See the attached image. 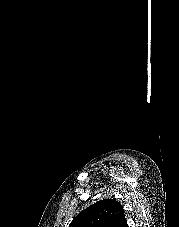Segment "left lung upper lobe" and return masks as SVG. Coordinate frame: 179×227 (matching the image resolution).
Wrapping results in <instances>:
<instances>
[{
  "instance_id": "obj_1",
  "label": "left lung upper lobe",
  "mask_w": 179,
  "mask_h": 227,
  "mask_svg": "<svg viewBox=\"0 0 179 227\" xmlns=\"http://www.w3.org/2000/svg\"><path fill=\"white\" fill-rule=\"evenodd\" d=\"M69 227H128L121 204L103 199L81 211Z\"/></svg>"
}]
</instances>
